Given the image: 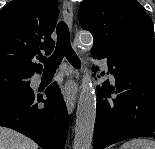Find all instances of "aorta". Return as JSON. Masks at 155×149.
<instances>
[{
	"label": "aorta",
	"instance_id": "762f6f07",
	"mask_svg": "<svg viewBox=\"0 0 155 149\" xmlns=\"http://www.w3.org/2000/svg\"><path fill=\"white\" fill-rule=\"evenodd\" d=\"M77 44L90 50L93 37L89 32L78 36ZM96 94L90 72L83 75L76 112V125L73 149H91L96 119Z\"/></svg>",
	"mask_w": 155,
	"mask_h": 149
}]
</instances>
